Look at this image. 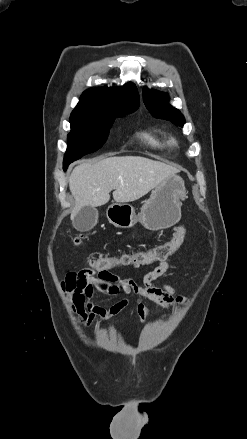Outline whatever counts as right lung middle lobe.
I'll list each match as a JSON object with an SVG mask.
<instances>
[{
  "instance_id": "dd1d6c3e",
  "label": "right lung middle lobe",
  "mask_w": 247,
  "mask_h": 439,
  "mask_svg": "<svg viewBox=\"0 0 247 439\" xmlns=\"http://www.w3.org/2000/svg\"><path fill=\"white\" fill-rule=\"evenodd\" d=\"M130 109L113 115L71 114V132L68 135V148L63 168L82 156L98 150L106 141L109 129L116 117L134 112Z\"/></svg>"
}]
</instances>
